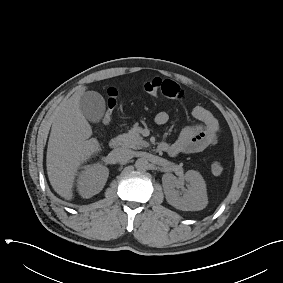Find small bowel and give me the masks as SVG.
I'll return each mask as SVG.
<instances>
[{
    "instance_id": "1",
    "label": "small bowel",
    "mask_w": 283,
    "mask_h": 283,
    "mask_svg": "<svg viewBox=\"0 0 283 283\" xmlns=\"http://www.w3.org/2000/svg\"><path fill=\"white\" fill-rule=\"evenodd\" d=\"M160 93L167 98L176 100H182L185 97L184 90L176 82L169 79L162 80ZM191 114L198 123L185 127L173 143L164 142V152L170 155L198 153L217 143L220 130L214 115L201 106H195ZM168 120L169 116L165 111H159L155 116V122L158 125H164Z\"/></svg>"
}]
</instances>
